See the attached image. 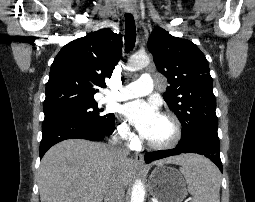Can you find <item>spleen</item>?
<instances>
[{"label": "spleen", "instance_id": "3e777b00", "mask_svg": "<svg viewBox=\"0 0 255 202\" xmlns=\"http://www.w3.org/2000/svg\"><path fill=\"white\" fill-rule=\"evenodd\" d=\"M180 171L186 180L187 190L192 195L193 202H220L221 175L208 159L193 155Z\"/></svg>", "mask_w": 255, "mask_h": 202}]
</instances>
